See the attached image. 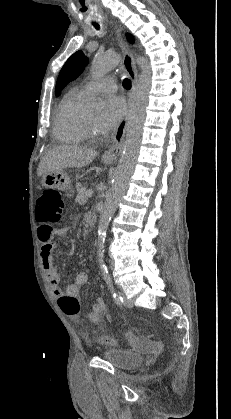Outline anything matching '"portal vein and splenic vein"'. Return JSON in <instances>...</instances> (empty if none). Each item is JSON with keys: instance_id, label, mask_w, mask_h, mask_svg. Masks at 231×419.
I'll use <instances>...</instances> for the list:
<instances>
[{"instance_id": "1", "label": "portal vein and splenic vein", "mask_w": 231, "mask_h": 419, "mask_svg": "<svg viewBox=\"0 0 231 419\" xmlns=\"http://www.w3.org/2000/svg\"><path fill=\"white\" fill-rule=\"evenodd\" d=\"M93 195V190H88L87 192H86V196L87 197H91Z\"/></svg>"}]
</instances>
